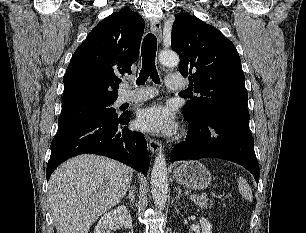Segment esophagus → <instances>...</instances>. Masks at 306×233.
<instances>
[{
    "label": "esophagus",
    "mask_w": 306,
    "mask_h": 233,
    "mask_svg": "<svg viewBox=\"0 0 306 233\" xmlns=\"http://www.w3.org/2000/svg\"><path fill=\"white\" fill-rule=\"evenodd\" d=\"M151 31L155 34L158 43L162 41V27L159 20H151L150 22ZM149 148L153 154L160 153L162 151V144L156 139L149 138Z\"/></svg>",
    "instance_id": "34e87169"
}]
</instances>
